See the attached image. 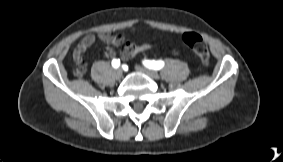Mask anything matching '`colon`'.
Returning <instances> with one entry per match:
<instances>
[{
	"instance_id": "obj_1",
	"label": "colon",
	"mask_w": 283,
	"mask_h": 162,
	"mask_svg": "<svg viewBox=\"0 0 283 162\" xmlns=\"http://www.w3.org/2000/svg\"><path fill=\"white\" fill-rule=\"evenodd\" d=\"M182 41L198 56L203 65L209 63L210 54L204 39L195 32H186L182 35ZM76 76H81L84 73V67L81 62H76L74 70Z\"/></svg>"
}]
</instances>
